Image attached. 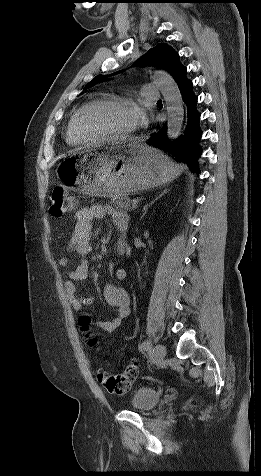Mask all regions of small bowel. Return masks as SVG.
<instances>
[{"mask_svg": "<svg viewBox=\"0 0 261 476\" xmlns=\"http://www.w3.org/2000/svg\"><path fill=\"white\" fill-rule=\"evenodd\" d=\"M104 217H111L117 228L120 238L117 243V250L119 253L125 251V235L128 230L129 218L128 215L109 206L95 205L88 208H82L76 213V221L72 228L71 237L69 239L66 250L69 254H77L81 257L78 266L68 271V278L65 281V293L72 308L76 311H82L85 306L92 303L90 297H82L77 294L76 283L88 277L89 262L87 256L92 250L91 240L94 235L93 221ZM59 265L63 269L69 266V258L62 257L59 260ZM116 279L120 282L127 279V271L120 268L115 273ZM103 296L109 306L116 310V316L108 321L96 320L91 314H86L90 322H94L98 327L105 332L112 333L116 331L123 319L130 313V296L128 292L115 284H107L103 290Z\"/></svg>", "mask_w": 261, "mask_h": 476, "instance_id": "c3829d8e", "label": "small bowel"}]
</instances>
